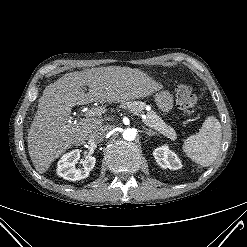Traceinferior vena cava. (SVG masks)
<instances>
[{"mask_svg": "<svg viewBox=\"0 0 247 247\" xmlns=\"http://www.w3.org/2000/svg\"><path fill=\"white\" fill-rule=\"evenodd\" d=\"M106 133L107 129L105 127H100L90 134L89 139L96 143H100L105 138Z\"/></svg>", "mask_w": 247, "mask_h": 247, "instance_id": "1", "label": "inferior vena cava"}]
</instances>
